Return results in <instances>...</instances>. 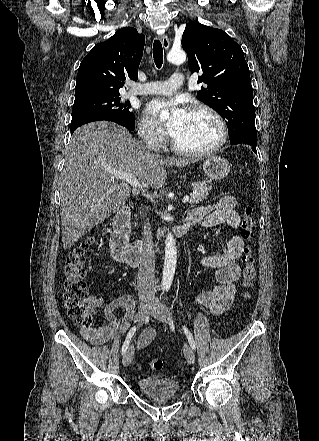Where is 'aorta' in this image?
I'll use <instances>...</instances> for the list:
<instances>
[{
  "mask_svg": "<svg viewBox=\"0 0 319 441\" xmlns=\"http://www.w3.org/2000/svg\"><path fill=\"white\" fill-rule=\"evenodd\" d=\"M167 60L170 63L180 65L186 60V53L181 50L172 49L168 55ZM161 119L165 120L169 118V112L163 110L160 114ZM177 261L176 243L172 234H168L165 241V262L163 267L162 286L170 287L174 278Z\"/></svg>",
  "mask_w": 319,
  "mask_h": 441,
  "instance_id": "aorta-1",
  "label": "aorta"
}]
</instances>
